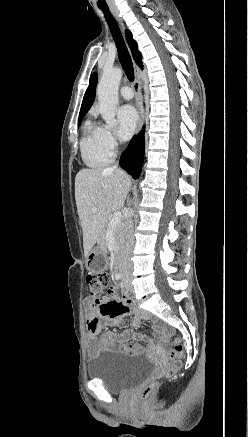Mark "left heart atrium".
<instances>
[{
  "mask_svg": "<svg viewBox=\"0 0 248 437\" xmlns=\"http://www.w3.org/2000/svg\"><path fill=\"white\" fill-rule=\"evenodd\" d=\"M119 135L123 139H129L136 129L138 115L131 105L122 106L117 112Z\"/></svg>",
  "mask_w": 248,
  "mask_h": 437,
  "instance_id": "obj_1",
  "label": "left heart atrium"
}]
</instances>
